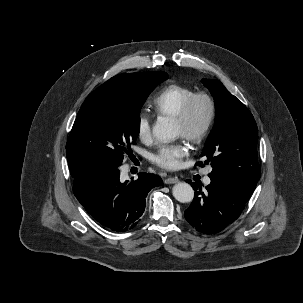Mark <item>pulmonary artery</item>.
I'll return each mask as SVG.
<instances>
[{
  "label": "pulmonary artery",
  "instance_id": "1",
  "mask_svg": "<svg viewBox=\"0 0 303 303\" xmlns=\"http://www.w3.org/2000/svg\"><path fill=\"white\" fill-rule=\"evenodd\" d=\"M210 182H211V179H210L208 176H206V177L204 178V183H205L206 185H208V184H210Z\"/></svg>",
  "mask_w": 303,
  "mask_h": 303
}]
</instances>
